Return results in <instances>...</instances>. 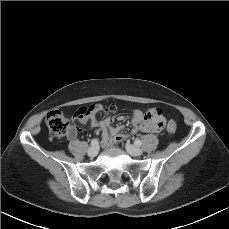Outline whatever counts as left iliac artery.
Instances as JSON below:
<instances>
[{
  "label": "left iliac artery",
  "mask_w": 229,
  "mask_h": 229,
  "mask_svg": "<svg viewBox=\"0 0 229 229\" xmlns=\"http://www.w3.org/2000/svg\"><path fill=\"white\" fill-rule=\"evenodd\" d=\"M134 144H135L136 146H141V145H142V141L139 140V139H136V140L134 141Z\"/></svg>",
  "instance_id": "left-iliac-artery-1"
}]
</instances>
